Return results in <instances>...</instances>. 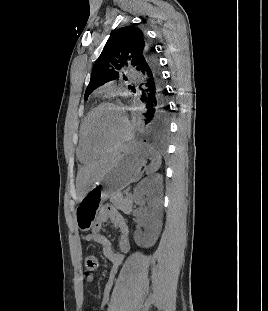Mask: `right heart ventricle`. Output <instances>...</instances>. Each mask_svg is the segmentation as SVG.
<instances>
[{
    "mask_svg": "<svg viewBox=\"0 0 268 311\" xmlns=\"http://www.w3.org/2000/svg\"><path fill=\"white\" fill-rule=\"evenodd\" d=\"M86 117H84L80 125L79 141L77 147V156L82 163H90L96 160L97 158V155L93 154L88 150L84 141V122Z\"/></svg>",
    "mask_w": 268,
    "mask_h": 311,
    "instance_id": "right-heart-ventricle-1",
    "label": "right heart ventricle"
}]
</instances>
